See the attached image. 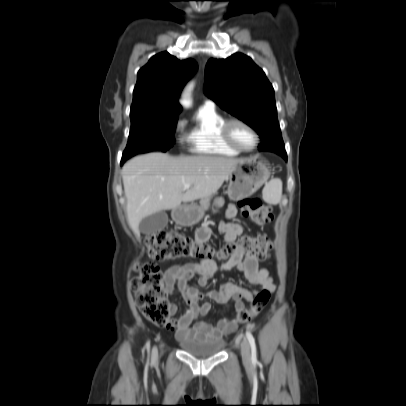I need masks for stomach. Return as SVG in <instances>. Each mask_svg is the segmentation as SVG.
<instances>
[{
  "label": "stomach",
  "mask_w": 406,
  "mask_h": 406,
  "mask_svg": "<svg viewBox=\"0 0 406 406\" xmlns=\"http://www.w3.org/2000/svg\"><path fill=\"white\" fill-rule=\"evenodd\" d=\"M270 177L266 163L251 157L243 159L226 177L229 182L227 195L231 200L239 201L255 193ZM204 216V209L197 205L179 206L172 211L173 220L183 226H192Z\"/></svg>",
  "instance_id": "0dacf381"
}]
</instances>
